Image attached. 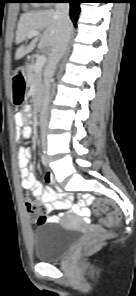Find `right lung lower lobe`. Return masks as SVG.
<instances>
[{"label": "right lung lower lobe", "mask_w": 136, "mask_h": 296, "mask_svg": "<svg viewBox=\"0 0 136 296\" xmlns=\"http://www.w3.org/2000/svg\"><path fill=\"white\" fill-rule=\"evenodd\" d=\"M66 1L70 3V17L74 25L76 26V22L80 12L79 4L84 2V0H66Z\"/></svg>", "instance_id": "98d812e1"}]
</instances>
